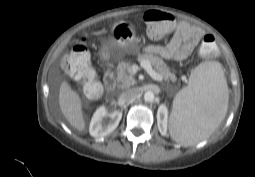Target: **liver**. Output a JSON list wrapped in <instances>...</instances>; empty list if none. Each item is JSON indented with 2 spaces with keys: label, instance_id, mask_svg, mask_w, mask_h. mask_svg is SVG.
<instances>
[{
  "label": "liver",
  "instance_id": "liver-1",
  "mask_svg": "<svg viewBox=\"0 0 255 177\" xmlns=\"http://www.w3.org/2000/svg\"><path fill=\"white\" fill-rule=\"evenodd\" d=\"M59 106L67 121L79 131L85 129L81 100L78 93L67 82H62L59 90Z\"/></svg>",
  "mask_w": 255,
  "mask_h": 177
}]
</instances>
